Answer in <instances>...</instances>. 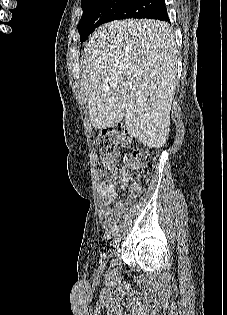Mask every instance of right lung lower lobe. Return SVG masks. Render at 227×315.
<instances>
[{"label":"right lung lower lobe","instance_id":"1","mask_svg":"<svg viewBox=\"0 0 227 315\" xmlns=\"http://www.w3.org/2000/svg\"><path fill=\"white\" fill-rule=\"evenodd\" d=\"M150 18L169 21L164 0H160L157 6L148 14Z\"/></svg>","mask_w":227,"mask_h":315}]
</instances>
